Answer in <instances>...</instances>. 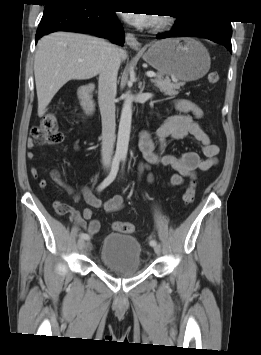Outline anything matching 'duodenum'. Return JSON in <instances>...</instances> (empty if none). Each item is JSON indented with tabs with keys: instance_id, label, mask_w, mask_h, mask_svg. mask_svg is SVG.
Here are the masks:
<instances>
[{
	"instance_id": "1",
	"label": "duodenum",
	"mask_w": 261,
	"mask_h": 355,
	"mask_svg": "<svg viewBox=\"0 0 261 355\" xmlns=\"http://www.w3.org/2000/svg\"><path fill=\"white\" fill-rule=\"evenodd\" d=\"M93 90H94V85L87 84L80 88L78 94L81 105L88 116H93L95 112V106L92 99Z\"/></svg>"
}]
</instances>
